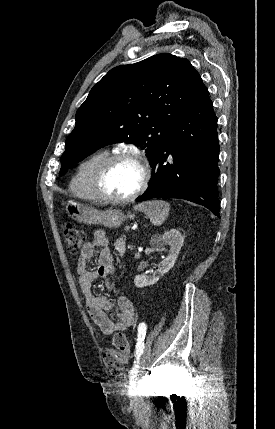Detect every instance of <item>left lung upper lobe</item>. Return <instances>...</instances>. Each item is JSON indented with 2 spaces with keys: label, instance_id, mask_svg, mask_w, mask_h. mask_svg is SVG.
Here are the masks:
<instances>
[{
  "label": "left lung upper lobe",
  "instance_id": "obj_1",
  "mask_svg": "<svg viewBox=\"0 0 275 429\" xmlns=\"http://www.w3.org/2000/svg\"><path fill=\"white\" fill-rule=\"evenodd\" d=\"M199 73L185 58L158 54L110 70L76 112L60 175L96 150L134 143L150 163L187 108Z\"/></svg>",
  "mask_w": 275,
  "mask_h": 429
}]
</instances>
